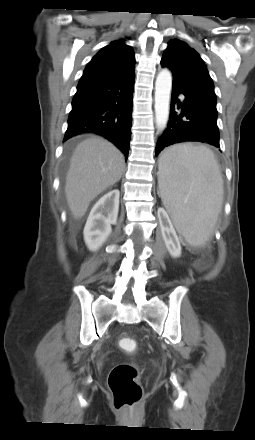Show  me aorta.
<instances>
[{"label":"aorta","mask_w":255,"mask_h":440,"mask_svg":"<svg viewBox=\"0 0 255 440\" xmlns=\"http://www.w3.org/2000/svg\"><path fill=\"white\" fill-rule=\"evenodd\" d=\"M171 73L167 69L159 72L155 82V119L160 131L164 130L169 118Z\"/></svg>","instance_id":"762f6f07"}]
</instances>
